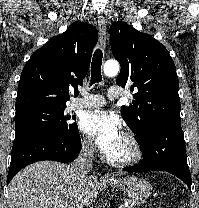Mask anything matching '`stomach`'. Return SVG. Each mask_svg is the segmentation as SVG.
I'll return each mask as SVG.
<instances>
[{
    "instance_id": "stomach-1",
    "label": "stomach",
    "mask_w": 199,
    "mask_h": 208,
    "mask_svg": "<svg viewBox=\"0 0 199 208\" xmlns=\"http://www.w3.org/2000/svg\"><path fill=\"white\" fill-rule=\"evenodd\" d=\"M111 187L121 189L134 201H142L151 194L152 186L148 181L139 177H127L106 181Z\"/></svg>"
}]
</instances>
